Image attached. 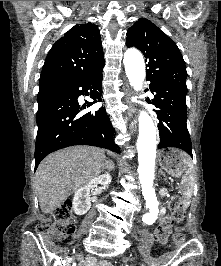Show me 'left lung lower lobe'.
Returning a JSON list of instances; mask_svg holds the SVG:
<instances>
[{
    "mask_svg": "<svg viewBox=\"0 0 221 266\" xmlns=\"http://www.w3.org/2000/svg\"><path fill=\"white\" fill-rule=\"evenodd\" d=\"M153 104L159 119L160 143L158 149L176 147L192 158V144L187 129L186 93L159 82H151Z\"/></svg>",
    "mask_w": 221,
    "mask_h": 266,
    "instance_id": "obj_1",
    "label": "left lung lower lobe"
}]
</instances>
